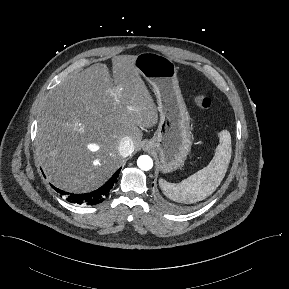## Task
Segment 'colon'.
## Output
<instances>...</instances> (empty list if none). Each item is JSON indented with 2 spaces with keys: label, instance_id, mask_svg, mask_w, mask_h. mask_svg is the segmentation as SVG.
I'll return each instance as SVG.
<instances>
[{
  "label": "colon",
  "instance_id": "obj_1",
  "mask_svg": "<svg viewBox=\"0 0 289 289\" xmlns=\"http://www.w3.org/2000/svg\"><path fill=\"white\" fill-rule=\"evenodd\" d=\"M194 102L200 111L206 112L211 107V101L204 94L196 92L194 94Z\"/></svg>",
  "mask_w": 289,
  "mask_h": 289
}]
</instances>
